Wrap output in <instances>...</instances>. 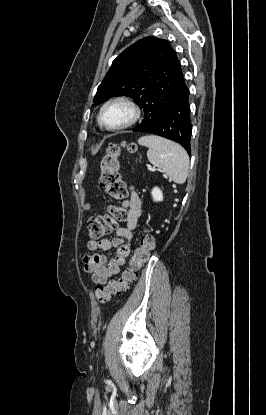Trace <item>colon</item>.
Here are the masks:
<instances>
[{
    "label": "colon",
    "instance_id": "colon-1",
    "mask_svg": "<svg viewBox=\"0 0 266 415\" xmlns=\"http://www.w3.org/2000/svg\"><path fill=\"white\" fill-rule=\"evenodd\" d=\"M126 147L129 152H135L136 146L132 143L118 144L111 143L107 146L100 160V186L115 200L120 201L127 195L125 184L119 173V160L121 148ZM126 218L125 210L118 205H112L104 215L94 216L87 221V234L90 238L98 240L108 235L114 229L117 221ZM155 247V239L149 231H145L139 244L130 258L128 266L121 276L112 280L104 286H98L95 290L97 300L105 304L113 296L125 292L129 285L137 278L138 271L148 261L151 251Z\"/></svg>",
    "mask_w": 266,
    "mask_h": 415
}]
</instances>
